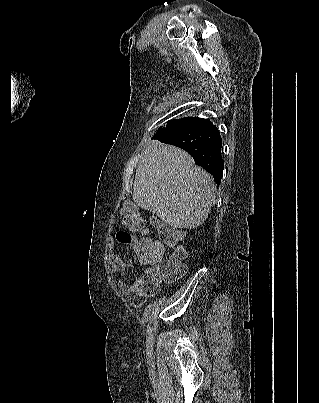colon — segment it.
I'll list each match as a JSON object with an SVG mask.
<instances>
[{
    "label": "colon",
    "instance_id": "colon-1",
    "mask_svg": "<svg viewBox=\"0 0 319 403\" xmlns=\"http://www.w3.org/2000/svg\"><path fill=\"white\" fill-rule=\"evenodd\" d=\"M123 213V223L132 230H140L143 226L141 216L136 209L134 201H127ZM161 241H158L157 234H146L145 236H136L137 248L134 252H142V254L154 263V267L145 272V275L140 278L141 285L144 286V291L147 296L158 291L162 282H172L182 277L186 272L184 263L185 252L181 247L183 234L180 230L165 226L155 220ZM176 248L174 255L163 257V244Z\"/></svg>",
    "mask_w": 319,
    "mask_h": 403
}]
</instances>
